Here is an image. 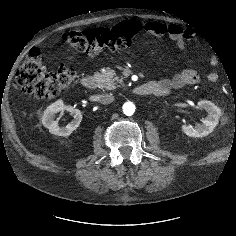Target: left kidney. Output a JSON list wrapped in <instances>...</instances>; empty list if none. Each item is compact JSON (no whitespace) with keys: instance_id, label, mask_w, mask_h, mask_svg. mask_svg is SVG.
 Listing matches in <instances>:
<instances>
[{"instance_id":"left-kidney-1","label":"left kidney","mask_w":236,"mask_h":236,"mask_svg":"<svg viewBox=\"0 0 236 236\" xmlns=\"http://www.w3.org/2000/svg\"><path fill=\"white\" fill-rule=\"evenodd\" d=\"M198 106L207 111V117L202 121V124L196 126L184 124L182 130L187 136L201 138L213 132L219 123L222 112L219 107L208 100L199 101Z\"/></svg>"}]
</instances>
